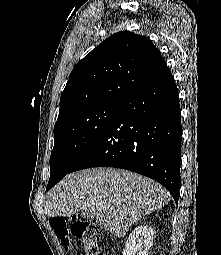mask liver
I'll return each instance as SVG.
<instances>
[{"label": "liver", "mask_w": 221, "mask_h": 255, "mask_svg": "<svg viewBox=\"0 0 221 255\" xmlns=\"http://www.w3.org/2000/svg\"><path fill=\"white\" fill-rule=\"evenodd\" d=\"M169 201L168 192L150 178L121 169L91 168L65 176L47 193L44 211L48 217L92 211L101 226L120 238Z\"/></svg>", "instance_id": "1"}]
</instances>
